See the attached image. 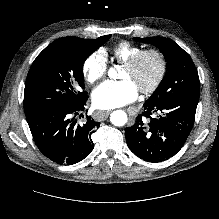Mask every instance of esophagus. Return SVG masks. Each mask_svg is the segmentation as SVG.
I'll list each match as a JSON object with an SVG mask.
<instances>
[{"label":"esophagus","mask_w":219,"mask_h":219,"mask_svg":"<svg viewBox=\"0 0 219 219\" xmlns=\"http://www.w3.org/2000/svg\"><path fill=\"white\" fill-rule=\"evenodd\" d=\"M111 113L110 110H105V111H100L99 113H97V118L100 120V121H104L108 118L109 114Z\"/></svg>","instance_id":"34e87169"}]
</instances>
